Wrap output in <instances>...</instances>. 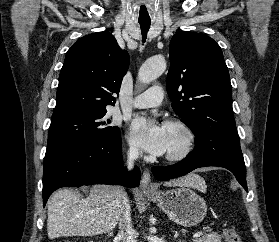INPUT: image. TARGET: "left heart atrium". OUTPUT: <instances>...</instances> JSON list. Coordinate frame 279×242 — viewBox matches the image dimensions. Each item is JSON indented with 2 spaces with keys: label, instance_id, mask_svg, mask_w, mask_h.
I'll return each mask as SVG.
<instances>
[{
  "label": "left heart atrium",
  "instance_id": "39dd6f15",
  "mask_svg": "<svg viewBox=\"0 0 279 242\" xmlns=\"http://www.w3.org/2000/svg\"><path fill=\"white\" fill-rule=\"evenodd\" d=\"M130 139L143 150L161 156L167 151L166 125L156 119L137 117L130 126Z\"/></svg>",
  "mask_w": 279,
  "mask_h": 242
}]
</instances>
